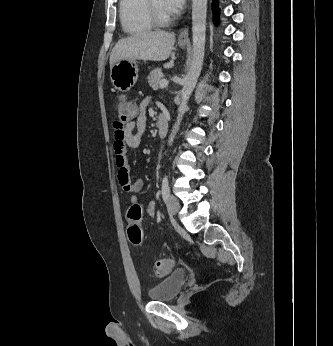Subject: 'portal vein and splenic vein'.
Wrapping results in <instances>:
<instances>
[{"instance_id":"portal-vein-and-splenic-vein-1","label":"portal vein and splenic vein","mask_w":333,"mask_h":346,"mask_svg":"<svg viewBox=\"0 0 333 346\" xmlns=\"http://www.w3.org/2000/svg\"><path fill=\"white\" fill-rule=\"evenodd\" d=\"M168 85V80L167 79H162L160 82V88H165Z\"/></svg>"}]
</instances>
